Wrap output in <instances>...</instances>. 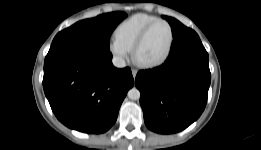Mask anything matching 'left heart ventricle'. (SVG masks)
Segmentation results:
<instances>
[{
	"label": "left heart ventricle",
	"instance_id": "1",
	"mask_svg": "<svg viewBox=\"0 0 261 150\" xmlns=\"http://www.w3.org/2000/svg\"><path fill=\"white\" fill-rule=\"evenodd\" d=\"M170 39L169 28L164 23L154 26L141 46L138 57L142 61H154L167 51Z\"/></svg>",
	"mask_w": 261,
	"mask_h": 150
}]
</instances>
